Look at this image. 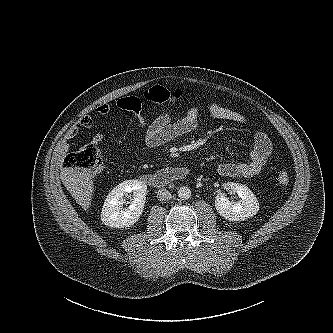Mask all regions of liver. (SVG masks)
Wrapping results in <instances>:
<instances>
[{"mask_svg":"<svg viewBox=\"0 0 333 333\" xmlns=\"http://www.w3.org/2000/svg\"><path fill=\"white\" fill-rule=\"evenodd\" d=\"M60 178L71 196L84 209H89L93 196L94 182L92 175L84 168L65 167Z\"/></svg>","mask_w":333,"mask_h":333,"instance_id":"obj_1","label":"liver"}]
</instances>
